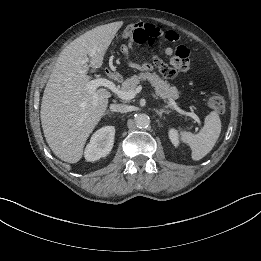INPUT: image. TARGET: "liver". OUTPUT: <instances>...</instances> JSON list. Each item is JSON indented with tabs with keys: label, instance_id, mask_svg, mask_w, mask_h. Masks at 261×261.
Here are the masks:
<instances>
[{
	"label": "liver",
	"instance_id": "6515ba94",
	"mask_svg": "<svg viewBox=\"0 0 261 261\" xmlns=\"http://www.w3.org/2000/svg\"><path fill=\"white\" fill-rule=\"evenodd\" d=\"M117 27L109 24L87 31L59 55L46 84L41 103V123L53 153L69 163L78 162L85 143L104 116L111 94L87 89L89 66L101 67ZM90 59L88 58V56Z\"/></svg>",
	"mask_w": 261,
	"mask_h": 261
}]
</instances>
